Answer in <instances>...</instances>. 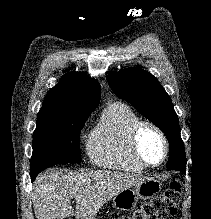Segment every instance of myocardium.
I'll use <instances>...</instances> for the list:
<instances>
[{
    "label": "myocardium",
    "instance_id": "f54148a6",
    "mask_svg": "<svg viewBox=\"0 0 211 219\" xmlns=\"http://www.w3.org/2000/svg\"><path fill=\"white\" fill-rule=\"evenodd\" d=\"M146 127L154 130L158 134V136L161 138L162 143H163V156L161 160L156 164L148 163L143 158L140 152L139 136H140L141 131ZM130 148H131V152L134 158L145 168H157V167L162 166L166 162L168 155H169V142H168V138L166 134L157 124H155L152 121H148V120H140L133 126L131 130V134H130Z\"/></svg>",
    "mask_w": 211,
    "mask_h": 219
}]
</instances>
